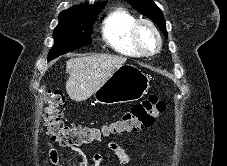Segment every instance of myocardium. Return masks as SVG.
I'll list each match as a JSON object with an SVG mask.
<instances>
[{"label":"myocardium","mask_w":227,"mask_h":166,"mask_svg":"<svg viewBox=\"0 0 227 166\" xmlns=\"http://www.w3.org/2000/svg\"><path fill=\"white\" fill-rule=\"evenodd\" d=\"M148 27L150 29V31L153 33L155 40H156V44L152 49H146L140 39H139V31L141 29V27ZM131 40L133 45L135 46V48L142 54V55H152L157 53L162 45V38L160 35L159 30L157 29V27L155 26V24L148 20V19H138L132 26L131 28Z\"/></svg>","instance_id":"f54148a6"}]
</instances>
